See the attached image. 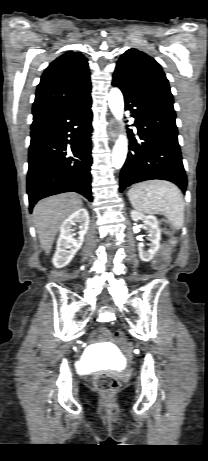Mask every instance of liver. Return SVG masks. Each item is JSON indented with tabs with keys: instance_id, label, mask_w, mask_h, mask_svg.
<instances>
[{
	"instance_id": "obj_1",
	"label": "liver",
	"mask_w": 208,
	"mask_h": 461,
	"mask_svg": "<svg viewBox=\"0 0 208 461\" xmlns=\"http://www.w3.org/2000/svg\"><path fill=\"white\" fill-rule=\"evenodd\" d=\"M82 201L77 194L66 193L39 201L33 209V219L41 247L46 254L51 251L62 222L81 209Z\"/></svg>"
}]
</instances>
